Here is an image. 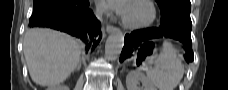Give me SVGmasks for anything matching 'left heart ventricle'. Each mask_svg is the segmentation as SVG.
<instances>
[{
	"label": "left heart ventricle",
	"mask_w": 228,
	"mask_h": 90,
	"mask_svg": "<svg viewBox=\"0 0 228 90\" xmlns=\"http://www.w3.org/2000/svg\"><path fill=\"white\" fill-rule=\"evenodd\" d=\"M123 16L131 23H141L150 17V9L142 2L130 3L127 4Z\"/></svg>",
	"instance_id": "left-heart-ventricle-1"
}]
</instances>
